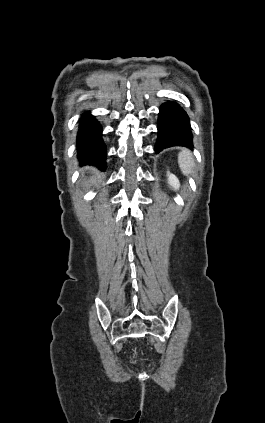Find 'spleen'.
<instances>
[{"label": "spleen", "instance_id": "3e777b00", "mask_svg": "<svg viewBox=\"0 0 265 423\" xmlns=\"http://www.w3.org/2000/svg\"><path fill=\"white\" fill-rule=\"evenodd\" d=\"M178 164L185 175H189L194 167V159L191 152L188 149H182L178 155Z\"/></svg>", "mask_w": 265, "mask_h": 423}]
</instances>
